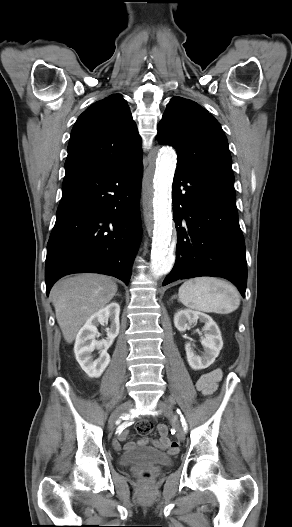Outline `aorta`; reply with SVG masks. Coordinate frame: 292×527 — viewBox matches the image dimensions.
<instances>
[{
	"instance_id": "obj_1",
	"label": "aorta",
	"mask_w": 292,
	"mask_h": 527,
	"mask_svg": "<svg viewBox=\"0 0 292 527\" xmlns=\"http://www.w3.org/2000/svg\"><path fill=\"white\" fill-rule=\"evenodd\" d=\"M176 168V154L171 148H162L144 176L143 193L153 207V241L151 259L155 277L168 273L173 266L171 248L172 213L171 190Z\"/></svg>"
}]
</instances>
